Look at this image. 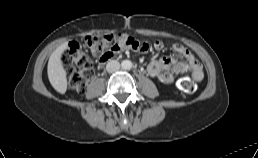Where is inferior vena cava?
<instances>
[{
	"mask_svg": "<svg viewBox=\"0 0 258 158\" xmlns=\"http://www.w3.org/2000/svg\"><path fill=\"white\" fill-rule=\"evenodd\" d=\"M119 69H120V63L118 61H116V60H111L106 65V70L109 73L116 72Z\"/></svg>",
	"mask_w": 258,
	"mask_h": 158,
	"instance_id": "602c4592",
	"label": "inferior vena cava"
}]
</instances>
